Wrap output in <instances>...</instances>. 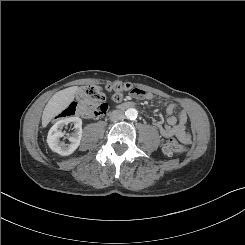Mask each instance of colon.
<instances>
[{
	"label": "colon",
	"mask_w": 245,
	"mask_h": 245,
	"mask_svg": "<svg viewBox=\"0 0 245 245\" xmlns=\"http://www.w3.org/2000/svg\"><path fill=\"white\" fill-rule=\"evenodd\" d=\"M112 94L114 101H121L127 93L136 92L137 89H130L128 86L115 83L107 87ZM107 111L106 96L103 89L97 85L82 86L75 99L58 115V119L81 116L84 118H96ZM187 150L185 144L179 143L176 139H169L163 145V151L167 155L183 154Z\"/></svg>",
	"instance_id": "5ec220e1"
}]
</instances>
